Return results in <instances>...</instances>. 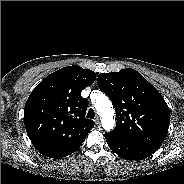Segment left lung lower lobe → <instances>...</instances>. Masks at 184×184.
<instances>
[{"label": "left lung lower lobe", "mask_w": 184, "mask_h": 184, "mask_svg": "<svg viewBox=\"0 0 184 184\" xmlns=\"http://www.w3.org/2000/svg\"><path fill=\"white\" fill-rule=\"evenodd\" d=\"M105 139L114 153L127 160H142L154 153L144 147L128 142L112 133H106Z\"/></svg>", "instance_id": "0a47b994"}]
</instances>
